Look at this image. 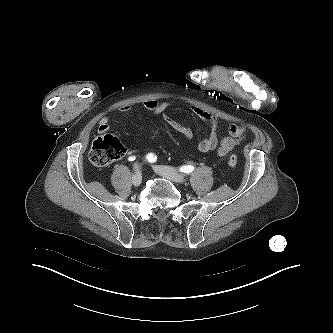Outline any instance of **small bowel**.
<instances>
[{
	"mask_svg": "<svg viewBox=\"0 0 333 333\" xmlns=\"http://www.w3.org/2000/svg\"><path fill=\"white\" fill-rule=\"evenodd\" d=\"M143 107L152 112L154 116L162 117L177 133L184 138L191 140L193 138L192 130L176 121L167 111L171 107V103L167 101L146 100L142 103ZM130 109L129 106L119 108L121 112H126ZM192 112L209 127V133L198 143V150L202 153H207L217 149V155L220 157L226 156L234 150L239 143L246 137L247 130L239 124H230L228 126V136L219 137L217 133L218 122L216 117L206 110L193 106ZM110 130L109 117L103 116L99 121L98 133L106 134Z\"/></svg>",
	"mask_w": 333,
	"mask_h": 333,
	"instance_id": "c3829d8e",
	"label": "small bowel"
}]
</instances>
